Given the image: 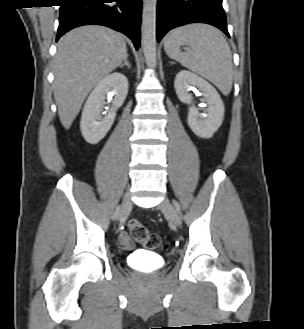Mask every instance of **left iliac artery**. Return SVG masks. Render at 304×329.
<instances>
[{
  "mask_svg": "<svg viewBox=\"0 0 304 329\" xmlns=\"http://www.w3.org/2000/svg\"><path fill=\"white\" fill-rule=\"evenodd\" d=\"M173 203L178 211H180V205L178 204L177 201L173 200Z\"/></svg>",
  "mask_w": 304,
  "mask_h": 329,
  "instance_id": "1",
  "label": "left iliac artery"
}]
</instances>
